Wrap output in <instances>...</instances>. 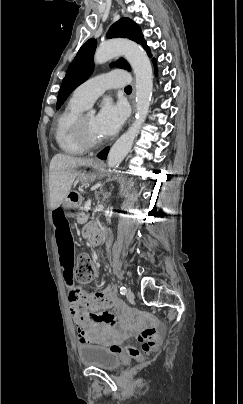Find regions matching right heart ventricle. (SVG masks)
Masks as SVG:
<instances>
[{
  "label": "right heart ventricle",
  "instance_id": "obj_1",
  "mask_svg": "<svg viewBox=\"0 0 243 404\" xmlns=\"http://www.w3.org/2000/svg\"><path fill=\"white\" fill-rule=\"evenodd\" d=\"M87 108L85 102L79 97L76 88L56 119L54 128V140L58 149L68 156H82L88 148L79 142L73 131L76 119Z\"/></svg>",
  "mask_w": 243,
  "mask_h": 404
}]
</instances>
